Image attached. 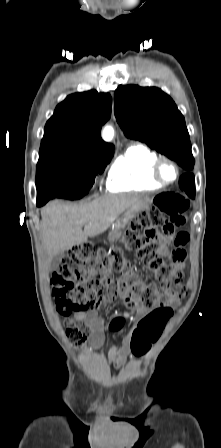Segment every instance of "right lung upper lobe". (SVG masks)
I'll use <instances>...</instances> for the list:
<instances>
[{"mask_svg": "<svg viewBox=\"0 0 221 448\" xmlns=\"http://www.w3.org/2000/svg\"><path fill=\"white\" fill-rule=\"evenodd\" d=\"M111 96L90 90L69 95L47 121L40 149L65 147L92 155L114 153L101 139V126L111 115Z\"/></svg>", "mask_w": 221, "mask_h": 448, "instance_id": "right-lung-upper-lobe-1", "label": "right lung upper lobe"}]
</instances>
